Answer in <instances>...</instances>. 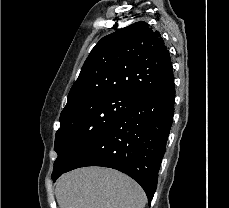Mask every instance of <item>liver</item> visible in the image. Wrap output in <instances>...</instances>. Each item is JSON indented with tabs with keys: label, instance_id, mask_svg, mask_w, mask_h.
Returning <instances> with one entry per match:
<instances>
[{
	"label": "liver",
	"instance_id": "6515ba94",
	"mask_svg": "<svg viewBox=\"0 0 229 208\" xmlns=\"http://www.w3.org/2000/svg\"><path fill=\"white\" fill-rule=\"evenodd\" d=\"M59 208H145L147 198L137 182L110 168H79L56 184Z\"/></svg>",
	"mask_w": 229,
	"mask_h": 208
}]
</instances>
